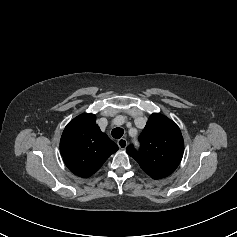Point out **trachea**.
<instances>
[{"instance_id": "obj_1", "label": "trachea", "mask_w": 237, "mask_h": 237, "mask_svg": "<svg viewBox=\"0 0 237 237\" xmlns=\"http://www.w3.org/2000/svg\"><path fill=\"white\" fill-rule=\"evenodd\" d=\"M111 134L115 139H119L123 136L124 130L122 128L117 127L112 130Z\"/></svg>"}]
</instances>
